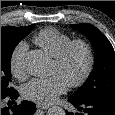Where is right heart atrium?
Returning <instances> with one entry per match:
<instances>
[{
    "label": "right heart atrium",
    "mask_w": 115,
    "mask_h": 115,
    "mask_svg": "<svg viewBox=\"0 0 115 115\" xmlns=\"http://www.w3.org/2000/svg\"><path fill=\"white\" fill-rule=\"evenodd\" d=\"M28 46L25 42H19L12 50L9 58V67L12 75L23 80L26 77V70L24 66V58L27 52Z\"/></svg>",
    "instance_id": "obj_1"
}]
</instances>
